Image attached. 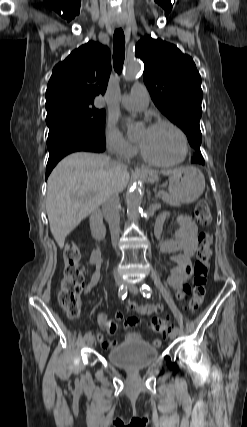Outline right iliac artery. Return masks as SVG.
I'll return each mask as SVG.
<instances>
[{
    "label": "right iliac artery",
    "mask_w": 247,
    "mask_h": 427,
    "mask_svg": "<svg viewBox=\"0 0 247 427\" xmlns=\"http://www.w3.org/2000/svg\"><path fill=\"white\" fill-rule=\"evenodd\" d=\"M118 296H119V298H121V299H124L126 296H127V290H126V288L122 285L120 288H119V291H118ZM91 336V332L90 331H88L86 334H85V339L87 340L89 337Z\"/></svg>",
    "instance_id": "right-iliac-artery-1"
}]
</instances>
